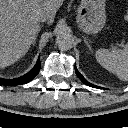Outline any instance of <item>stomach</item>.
<instances>
[{"label": "stomach", "mask_w": 128, "mask_h": 128, "mask_svg": "<svg viewBox=\"0 0 128 128\" xmlns=\"http://www.w3.org/2000/svg\"><path fill=\"white\" fill-rule=\"evenodd\" d=\"M106 0H81L77 11L79 28L87 34H96L106 22Z\"/></svg>", "instance_id": "0dacf381"}]
</instances>
